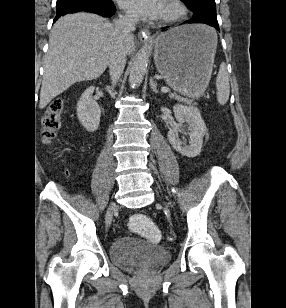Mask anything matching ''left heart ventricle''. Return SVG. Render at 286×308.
I'll return each mask as SVG.
<instances>
[{"instance_id":"obj_1","label":"left heart ventricle","mask_w":286,"mask_h":308,"mask_svg":"<svg viewBox=\"0 0 286 308\" xmlns=\"http://www.w3.org/2000/svg\"><path fill=\"white\" fill-rule=\"evenodd\" d=\"M169 12L170 10L168 9V7L163 4L161 16L168 14Z\"/></svg>"}]
</instances>
